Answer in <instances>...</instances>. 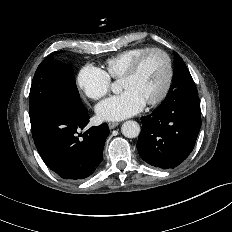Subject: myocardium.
Segmentation results:
<instances>
[{
    "instance_id": "f54148a6",
    "label": "myocardium",
    "mask_w": 232,
    "mask_h": 232,
    "mask_svg": "<svg viewBox=\"0 0 232 232\" xmlns=\"http://www.w3.org/2000/svg\"><path fill=\"white\" fill-rule=\"evenodd\" d=\"M153 53H159L165 58L166 66H167V74H166L165 84L161 92L155 98L146 102V104L150 106L157 105L165 99L173 82V76H174L173 63L170 55L165 50L155 47V48H149L148 50L144 51L130 63V65L128 66V68L120 78V80H126L132 78L137 73L138 69L140 68L145 58Z\"/></svg>"
}]
</instances>
